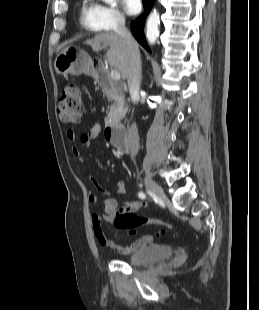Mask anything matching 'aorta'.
<instances>
[{
	"label": "aorta",
	"instance_id": "aorta-1",
	"mask_svg": "<svg viewBox=\"0 0 259 310\" xmlns=\"http://www.w3.org/2000/svg\"><path fill=\"white\" fill-rule=\"evenodd\" d=\"M103 2L113 5L115 0H103ZM160 19L159 14L156 10H154L147 20V27H146V37L149 43L154 44L159 36V26Z\"/></svg>",
	"mask_w": 259,
	"mask_h": 310
}]
</instances>
